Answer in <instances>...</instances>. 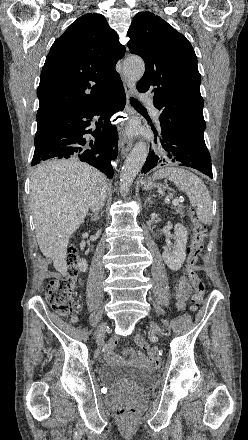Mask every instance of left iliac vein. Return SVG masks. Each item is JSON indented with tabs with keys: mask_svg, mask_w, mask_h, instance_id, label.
I'll use <instances>...</instances> for the list:
<instances>
[{
	"mask_svg": "<svg viewBox=\"0 0 248 440\" xmlns=\"http://www.w3.org/2000/svg\"><path fill=\"white\" fill-rule=\"evenodd\" d=\"M151 327L156 333L161 334V329L156 323L151 322Z\"/></svg>",
	"mask_w": 248,
	"mask_h": 440,
	"instance_id": "obj_1",
	"label": "left iliac vein"
}]
</instances>
